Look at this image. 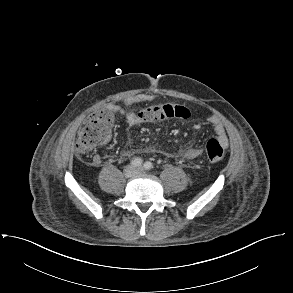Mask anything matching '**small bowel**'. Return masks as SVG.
<instances>
[{
    "mask_svg": "<svg viewBox=\"0 0 293 293\" xmlns=\"http://www.w3.org/2000/svg\"><path fill=\"white\" fill-rule=\"evenodd\" d=\"M149 100H150L149 96L141 95V96L127 100L124 106H121L119 104H110L108 106V110L116 115L123 116L130 126H136L143 122H146V120L141 119L138 115H136L131 110V108L134 105L145 103ZM207 121L211 125L215 133V139L219 141L222 147L226 148L229 144V140H228V136L226 134L223 124L215 117H209ZM203 153H204V149L202 147H192L187 149L183 153V156L186 159L193 160L202 156ZM99 161H100V157L98 155L94 156L93 163L98 164Z\"/></svg>",
    "mask_w": 293,
    "mask_h": 293,
    "instance_id": "c3829d8e",
    "label": "small bowel"
}]
</instances>
